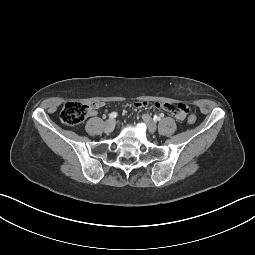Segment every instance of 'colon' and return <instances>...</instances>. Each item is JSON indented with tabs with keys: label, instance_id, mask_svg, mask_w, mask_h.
Instances as JSON below:
<instances>
[{
	"label": "colon",
	"instance_id": "1",
	"mask_svg": "<svg viewBox=\"0 0 255 255\" xmlns=\"http://www.w3.org/2000/svg\"><path fill=\"white\" fill-rule=\"evenodd\" d=\"M91 105L82 101H70L67 102L60 113L61 120L70 126L78 125L82 123L89 115ZM175 116V115H174ZM189 123L193 124L196 121L194 114H189L187 117Z\"/></svg>",
	"mask_w": 255,
	"mask_h": 255
}]
</instances>
